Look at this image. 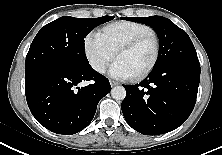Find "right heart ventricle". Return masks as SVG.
I'll return each instance as SVG.
<instances>
[{"instance_id": "e07e8e85", "label": "right heart ventricle", "mask_w": 222, "mask_h": 155, "mask_svg": "<svg viewBox=\"0 0 222 155\" xmlns=\"http://www.w3.org/2000/svg\"><path fill=\"white\" fill-rule=\"evenodd\" d=\"M153 32L154 29L145 23L121 21L103 27L100 33L108 45L116 52L120 46L134 38Z\"/></svg>"}]
</instances>
